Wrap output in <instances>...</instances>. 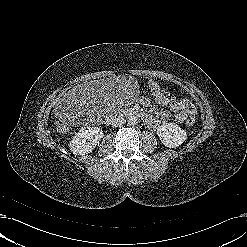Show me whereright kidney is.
Here are the masks:
<instances>
[{
  "label": "right kidney",
  "mask_w": 247,
  "mask_h": 247,
  "mask_svg": "<svg viewBox=\"0 0 247 247\" xmlns=\"http://www.w3.org/2000/svg\"><path fill=\"white\" fill-rule=\"evenodd\" d=\"M102 138L103 131L100 128H82L73 137L69 147L74 155H85L92 152Z\"/></svg>",
  "instance_id": "right-kidney-1"
}]
</instances>
